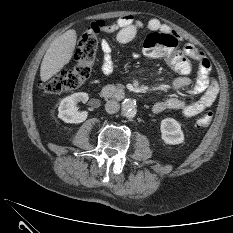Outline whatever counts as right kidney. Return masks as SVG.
<instances>
[{
  "mask_svg": "<svg viewBox=\"0 0 233 233\" xmlns=\"http://www.w3.org/2000/svg\"><path fill=\"white\" fill-rule=\"evenodd\" d=\"M89 96L87 93L79 92L65 97L61 100L58 107V117L66 123H82L87 118L86 111H78L77 103L87 102Z\"/></svg>",
  "mask_w": 233,
  "mask_h": 233,
  "instance_id": "right-kidney-1",
  "label": "right kidney"
}]
</instances>
